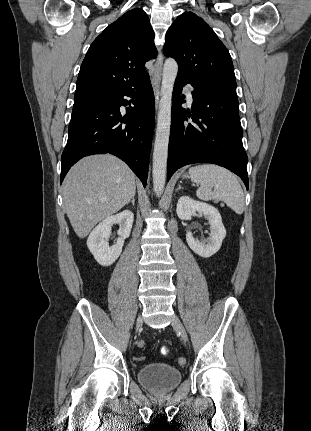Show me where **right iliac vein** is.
<instances>
[{"mask_svg": "<svg viewBox=\"0 0 311 431\" xmlns=\"http://www.w3.org/2000/svg\"><path fill=\"white\" fill-rule=\"evenodd\" d=\"M141 325H142V318L141 316H139L136 322V329L138 330Z\"/></svg>", "mask_w": 311, "mask_h": 431, "instance_id": "right-iliac-vein-1", "label": "right iliac vein"}]
</instances>
